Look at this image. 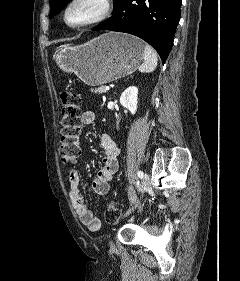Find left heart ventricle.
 I'll return each mask as SVG.
<instances>
[{"label":"left heart ventricle","instance_id":"obj_1","mask_svg":"<svg viewBox=\"0 0 240 281\" xmlns=\"http://www.w3.org/2000/svg\"><path fill=\"white\" fill-rule=\"evenodd\" d=\"M98 9L97 0H82L72 7L68 14L70 23H79L90 18Z\"/></svg>","mask_w":240,"mask_h":281}]
</instances>
